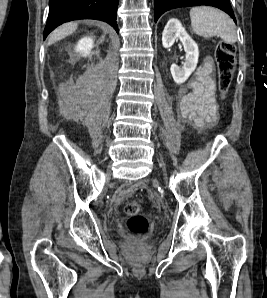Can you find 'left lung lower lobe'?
Instances as JSON below:
<instances>
[{
  "mask_svg": "<svg viewBox=\"0 0 267 298\" xmlns=\"http://www.w3.org/2000/svg\"><path fill=\"white\" fill-rule=\"evenodd\" d=\"M154 18H158L166 11L188 6L209 5L217 7L230 15L236 22L229 0H154Z\"/></svg>",
  "mask_w": 267,
  "mask_h": 298,
  "instance_id": "obj_1",
  "label": "left lung lower lobe"
}]
</instances>
